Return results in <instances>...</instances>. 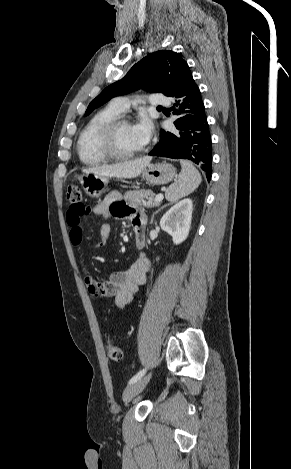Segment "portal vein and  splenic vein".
I'll return each instance as SVG.
<instances>
[{
    "instance_id": "18ae733b",
    "label": "portal vein and splenic vein",
    "mask_w": 291,
    "mask_h": 469,
    "mask_svg": "<svg viewBox=\"0 0 291 469\" xmlns=\"http://www.w3.org/2000/svg\"><path fill=\"white\" fill-rule=\"evenodd\" d=\"M164 196L163 194H158L155 198H154V201L155 202H161L163 200Z\"/></svg>"
}]
</instances>
